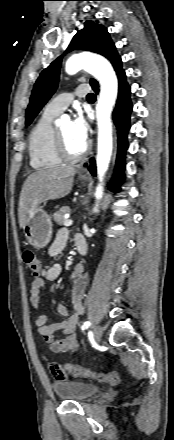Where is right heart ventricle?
Segmentation results:
<instances>
[{
	"label": "right heart ventricle",
	"mask_w": 174,
	"mask_h": 440,
	"mask_svg": "<svg viewBox=\"0 0 174 440\" xmlns=\"http://www.w3.org/2000/svg\"><path fill=\"white\" fill-rule=\"evenodd\" d=\"M56 116L44 110L30 131L28 152L30 165L36 170L54 168L63 162L56 150L55 129L52 125Z\"/></svg>",
	"instance_id": "obj_1"
}]
</instances>
